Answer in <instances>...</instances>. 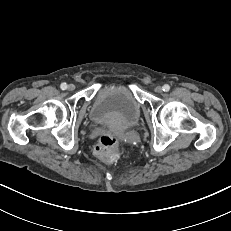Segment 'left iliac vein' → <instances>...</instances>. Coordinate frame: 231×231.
I'll return each mask as SVG.
<instances>
[{"label": "left iliac vein", "mask_w": 231, "mask_h": 231, "mask_svg": "<svg viewBox=\"0 0 231 231\" xmlns=\"http://www.w3.org/2000/svg\"><path fill=\"white\" fill-rule=\"evenodd\" d=\"M162 91H163V87H161V86H156L155 87V92L156 93H162Z\"/></svg>", "instance_id": "1"}]
</instances>
